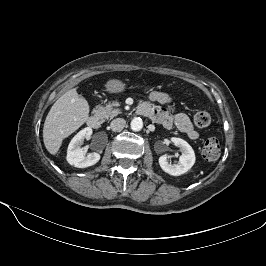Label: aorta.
I'll return each mask as SVG.
<instances>
[{
	"label": "aorta",
	"mask_w": 266,
	"mask_h": 266,
	"mask_svg": "<svg viewBox=\"0 0 266 266\" xmlns=\"http://www.w3.org/2000/svg\"><path fill=\"white\" fill-rule=\"evenodd\" d=\"M130 125L133 131H140L143 128V121L140 118H134Z\"/></svg>",
	"instance_id": "aorta-1"
}]
</instances>
